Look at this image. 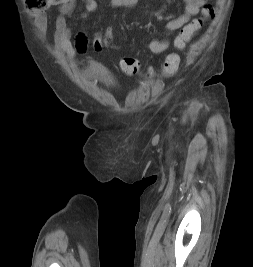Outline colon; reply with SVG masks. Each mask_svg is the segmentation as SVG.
<instances>
[{
    "label": "colon",
    "mask_w": 253,
    "mask_h": 267,
    "mask_svg": "<svg viewBox=\"0 0 253 267\" xmlns=\"http://www.w3.org/2000/svg\"><path fill=\"white\" fill-rule=\"evenodd\" d=\"M66 0H25L27 8L33 11H43L50 5H60ZM215 15V9L211 5H205L202 9V17L192 20L184 28L175 39V47L183 49L191 40L194 33H196L203 24L204 19L211 18ZM115 44L113 33H98L93 38L92 45L94 50L102 51L104 49H112ZM180 57L176 53H170L166 56L162 66V74L166 77L172 76L178 69ZM120 67L122 71L128 75H137L140 72V66L136 59L125 57L120 60ZM152 74V72H150Z\"/></svg>",
    "instance_id": "5ec220e1"
}]
</instances>
